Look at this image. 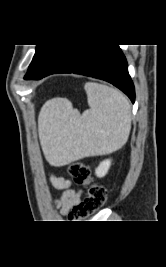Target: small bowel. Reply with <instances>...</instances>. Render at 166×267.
<instances>
[{
    "label": "small bowel",
    "mask_w": 166,
    "mask_h": 267,
    "mask_svg": "<svg viewBox=\"0 0 166 267\" xmlns=\"http://www.w3.org/2000/svg\"><path fill=\"white\" fill-rule=\"evenodd\" d=\"M50 181L56 188L64 190L58 202V206L62 212L68 211L72 206H74L79 202L80 194L79 192H76L69 188L70 187L69 180L63 177L51 175Z\"/></svg>",
    "instance_id": "1"
}]
</instances>
